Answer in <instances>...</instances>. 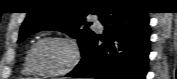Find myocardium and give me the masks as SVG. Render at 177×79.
<instances>
[{
  "label": "myocardium",
  "instance_id": "obj_1",
  "mask_svg": "<svg viewBox=\"0 0 177 79\" xmlns=\"http://www.w3.org/2000/svg\"><path fill=\"white\" fill-rule=\"evenodd\" d=\"M49 40H57V41H62L70 45L72 49V58L70 62L62 69L57 70V71H45L41 68H39L34 60V52L35 49L43 42L49 41ZM82 58V52L79 44L77 41L67 35H49L45 36L41 39H39L37 42H35L32 47L29 50V63L32 69L40 74V75H47V76H58V75H64L69 72H71L73 69H75L78 64L80 63Z\"/></svg>",
  "mask_w": 177,
  "mask_h": 79
}]
</instances>
